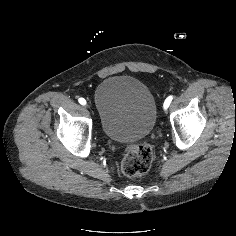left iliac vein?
I'll list each match as a JSON object with an SVG mask.
<instances>
[{"label":"left iliac vein","instance_id":"4c4485c4","mask_svg":"<svg viewBox=\"0 0 236 236\" xmlns=\"http://www.w3.org/2000/svg\"><path fill=\"white\" fill-rule=\"evenodd\" d=\"M162 114L166 117L169 114V110L167 108V106L165 105L163 110H162Z\"/></svg>","mask_w":236,"mask_h":236}]
</instances>
